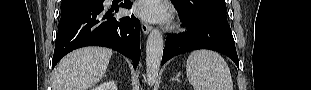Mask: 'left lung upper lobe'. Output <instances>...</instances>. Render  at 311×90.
Here are the masks:
<instances>
[{
    "label": "left lung upper lobe",
    "instance_id": "1",
    "mask_svg": "<svg viewBox=\"0 0 311 90\" xmlns=\"http://www.w3.org/2000/svg\"><path fill=\"white\" fill-rule=\"evenodd\" d=\"M183 18H212L228 24L225 0H171Z\"/></svg>",
    "mask_w": 311,
    "mask_h": 90
}]
</instances>
